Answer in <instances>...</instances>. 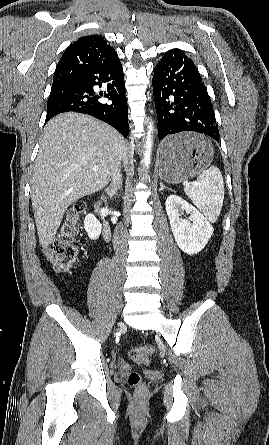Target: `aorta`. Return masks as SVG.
Masks as SVG:
<instances>
[{"label":"aorta","instance_id":"obj_1","mask_svg":"<svg viewBox=\"0 0 269 445\" xmlns=\"http://www.w3.org/2000/svg\"><path fill=\"white\" fill-rule=\"evenodd\" d=\"M153 127L152 125H148L147 127V135L145 141V153H144V164L148 166L151 158L152 144H153Z\"/></svg>","mask_w":269,"mask_h":445}]
</instances>
